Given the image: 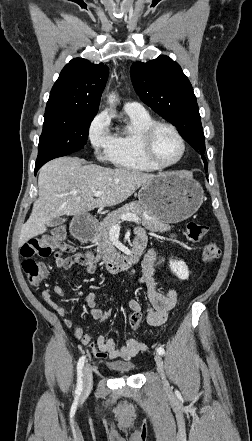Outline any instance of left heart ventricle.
Here are the masks:
<instances>
[{"label": "left heart ventricle", "mask_w": 252, "mask_h": 441, "mask_svg": "<svg viewBox=\"0 0 252 441\" xmlns=\"http://www.w3.org/2000/svg\"><path fill=\"white\" fill-rule=\"evenodd\" d=\"M154 154L162 163H169L179 157L181 144L177 137L168 129L157 131L153 141Z\"/></svg>", "instance_id": "b2bd125f"}]
</instances>
